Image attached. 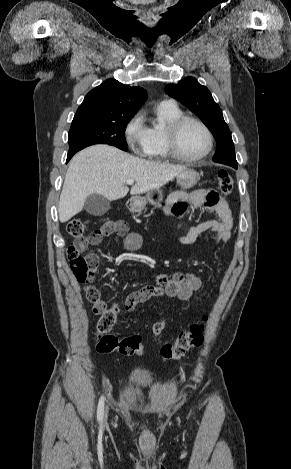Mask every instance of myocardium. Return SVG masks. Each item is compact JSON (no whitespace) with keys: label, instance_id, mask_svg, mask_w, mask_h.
I'll list each match as a JSON object with an SVG mask.
<instances>
[{"label":"myocardium","instance_id":"obj_1","mask_svg":"<svg viewBox=\"0 0 291 469\" xmlns=\"http://www.w3.org/2000/svg\"><path fill=\"white\" fill-rule=\"evenodd\" d=\"M187 122H193L199 125L207 137V147L205 151L201 155L193 158L182 155L178 148L179 132ZM165 138L170 156L175 160L185 163H197L204 160L211 153L214 145V137L210 128L199 118L189 115H182L171 122L166 128Z\"/></svg>","mask_w":291,"mask_h":469}]
</instances>
